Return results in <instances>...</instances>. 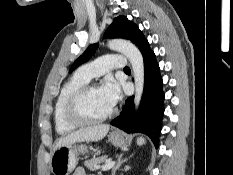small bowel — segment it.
<instances>
[{
    "label": "small bowel",
    "instance_id": "c3829d8e",
    "mask_svg": "<svg viewBox=\"0 0 233 175\" xmlns=\"http://www.w3.org/2000/svg\"><path fill=\"white\" fill-rule=\"evenodd\" d=\"M72 175H89L83 168H76Z\"/></svg>",
    "mask_w": 233,
    "mask_h": 175
}]
</instances>
